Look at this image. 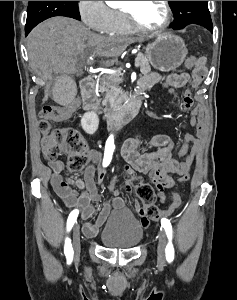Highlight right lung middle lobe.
<instances>
[{"label":"right lung middle lobe","mask_w":237,"mask_h":300,"mask_svg":"<svg viewBox=\"0 0 237 300\" xmlns=\"http://www.w3.org/2000/svg\"><path fill=\"white\" fill-rule=\"evenodd\" d=\"M78 1H29L26 27H35L38 23L53 16H66L80 20Z\"/></svg>","instance_id":"right-lung-middle-lobe-1"}]
</instances>
